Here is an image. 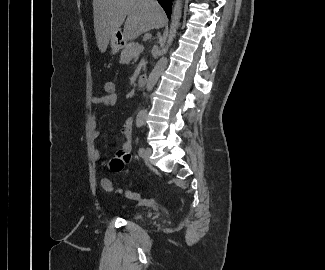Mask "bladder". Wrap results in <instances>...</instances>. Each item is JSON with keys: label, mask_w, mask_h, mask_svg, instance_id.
<instances>
[{"label": "bladder", "mask_w": 325, "mask_h": 270, "mask_svg": "<svg viewBox=\"0 0 325 270\" xmlns=\"http://www.w3.org/2000/svg\"><path fill=\"white\" fill-rule=\"evenodd\" d=\"M132 218L136 219V220H139V219L143 218V214L142 213H134L132 215Z\"/></svg>", "instance_id": "bladder-1"}]
</instances>
